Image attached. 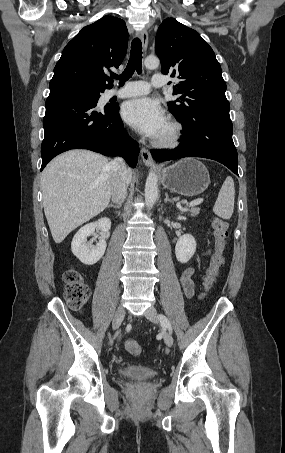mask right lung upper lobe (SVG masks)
<instances>
[{
	"label": "right lung upper lobe",
	"mask_w": 285,
	"mask_h": 453,
	"mask_svg": "<svg viewBox=\"0 0 285 453\" xmlns=\"http://www.w3.org/2000/svg\"><path fill=\"white\" fill-rule=\"evenodd\" d=\"M128 46V31L123 20L103 16L81 31L65 46L54 68L50 90L74 88L101 93L112 82L107 76L111 67L118 68Z\"/></svg>",
	"instance_id": "obj_1"
}]
</instances>
